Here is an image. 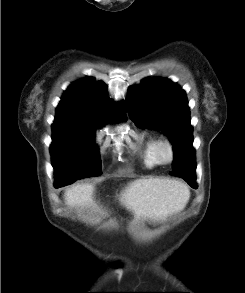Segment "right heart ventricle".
Returning <instances> with one entry per match:
<instances>
[{
  "label": "right heart ventricle",
  "instance_id": "obj_1",
  "mask_svg": "<svg viewBox=\"0 0 245 293\" xmlns=\"http://www.w3.org/2000/svg\"><path fill=\"white\" fill-rule=\"evenodd\" d=\"M159 139L156 136L148 135L142 141L141 162L145 168L151 169L160 164L156 157V145Z\"/></svg>",
  "mask_w": 245,
  "mask_h": 293
}]
</instances>
